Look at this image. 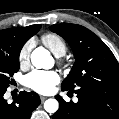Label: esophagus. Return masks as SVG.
Here are the masks:
<instances>
[{"mask_svg":"<svg viewBox=\"0 0 119 119\" xmlns=\"http://www.w3.org/2000/svg\"><path fill=\"white\" fill-rule=\"evenodd\" d=\"M40 99H41V101L43 102V101H45V100L47 99V97H45V96H40Z\"/></svg>","mask_w":119,"mask_h":119,"instance_id":"obj_1","label":"esophagus"}]
</instances>
